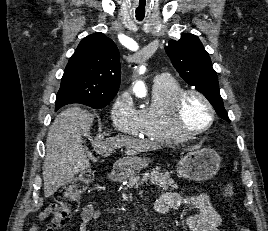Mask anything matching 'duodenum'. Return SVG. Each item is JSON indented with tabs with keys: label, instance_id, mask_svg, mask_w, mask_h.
I'll list each match as a JSON object with an SVG mask.
<instances>
[{
	"label": "duodenum",
	"instance_id": "obj_1",
	"mask_svg": "<svg viewBox=\"0 0 268 231\" xmlns=\"http://www.w3.org/2000/svg\"><path fill=\"white\" fill-rule=\"evenodd\" d=\"M118 178H119V172L117 170H113L112 172H110L109 174L110 181H117Z\"/></svg>",
	"mask_w": 268,
	"mask_h": 231
}]
</instances>
